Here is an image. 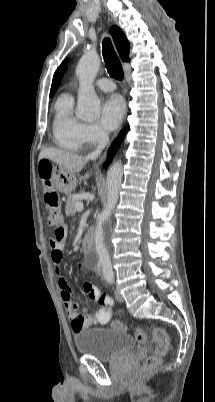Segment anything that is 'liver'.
I'll return each mask as SVG.
<instances>
[{
    "label": "liver",
    "instance_id": "obj_1",
    "mask_svg": "<svg viewBox=\"0 0 215 402\" xmlns=\"http://www.w3.org/2000/svg\"><path fill=\"white\" fill-rule=\"evenodd\" d=\"M41 159H49L71 173H79L88 161L85 157L55 148L43 149L39 154V160ZM89 176V173H87L85 179L89 178Z\"/></svg>",
    "mask_w": 215,
    "mask_h": 402
}]
</instances>
